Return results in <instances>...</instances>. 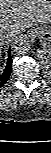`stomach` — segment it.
<instances>
[{
    "instance_id": "stomach-1",
    "label": "stomach",
    "mask_w": 51,
    "mask_h": 153,
    "mask_svg": "<svg viewBox=\"0 0 51 153\" xmlns=\"http://www.w3.org/2000/svg\"><path fill=\"white\" fill-rule=\"evenodd\" d=\"M35 32L40 40L43 49L48 52L51 51V25L38 26L35 28Z\"/></svg>"
}]
</instances>
